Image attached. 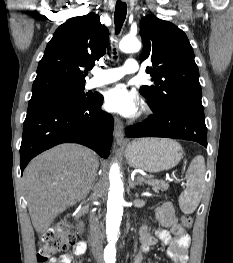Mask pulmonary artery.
I'll return each instance as SVG.
<instances>
[{
  "instance_id": "1",
  "label": "pulmonary artery",
  "mask_w": 233,
  "mask_h": 263,
  "mask_svg": "<svg viewBox=\"0 0 233 263\" xmlns=\"http://www.w3.org/2000/svg\"><path fill=\"white\" fill-rule=\"evenodd\" d=\"M138 62L133 58H128L122 67L96 69L94 76L87 83L88 88H95L121 79L125 74L138 72Z\"/></svg>"
}]
</instances>
